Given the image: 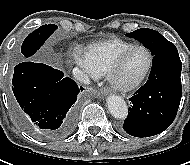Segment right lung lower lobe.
<instances>
[{
  "label": "right lung lower lobe",
  "mask_w": 190,
  "mask_h": 165,
  "mask_svg": "<svg viewBox=\"0 0 190 165\" xmlns=\"http://www.w3.org/2000/svg\"><path fill=\"white\" fill-rule=\"evenodd\" d=\"M82 89L57 69L25 61L14 68L10 99L24 127L42 129L48 137L59 139L74 129L75 102Z\"/></svg>",
  "instance_id": "1"
}]
</instances>
